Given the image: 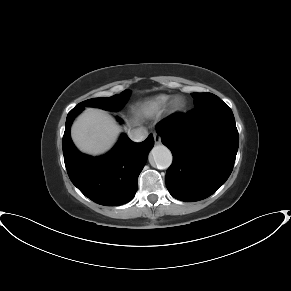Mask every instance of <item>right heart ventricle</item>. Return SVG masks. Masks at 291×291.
<instances>
[{
    "instance_id": "right-heart-ventricle-1",
    "label": "right heart ventricle",
    "mask_w": 291,
    "mask_h": 291,
    "mask_svg": "<svg viewBox=\"0 0 291 291\" xmlns=\"http://www.w3.org/2000/svg\"><path fill=\"white\" fill-rule=\"evenodd\" d=\"M165 101V97H161L156 101H152L142 105L143 110L145 111H158Z\"/></svg>"
}]
</instances>
